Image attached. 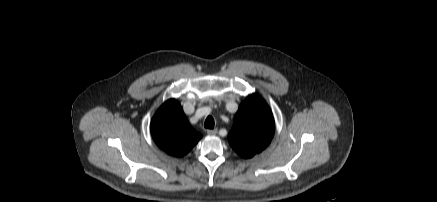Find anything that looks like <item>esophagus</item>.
Masks as SVG:
<instances>
[{"label":"esophagus","instance_id":"obj_1","mask_svg":"<svg viewBox=\"0 0 437 202\" xmlns=\"http://www.w3.org/2000/svg\"><path fill=\"white\" fill-rule=\"evenodd\" d=\"M217 132H218L217 129H209V130H207V134H208V135H216Z\"/></svg>","mask_w":437,"mask_h":202}]
</instances>
